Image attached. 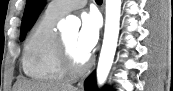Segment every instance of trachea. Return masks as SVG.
Listing matches in <instances>:
<instances>
[{
    "instance_id": "3493384b",
    "label": "trachea",
    "mask_w": 173,
    "mask_h": 91,
    "mask_svg": "<svg viewBox=\"0 0 173 91\" xmlns=\"http://www.w3.org/2000/svg\"><path fill=\"white\" fill-rule=\"evenodd\" d=\"M96 1V3H99V4H101L103 1L102 0H95Z\"/></svg>"
}]
</instances>
